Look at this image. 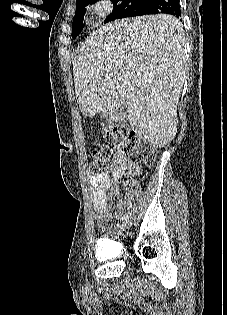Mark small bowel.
Returning a JSON list of instances; mask_svg holds the SVG:
<instances>
[{"label": "small bowel", "mask_w": 227, "mask_h": 315, "mask_svg": "<svg viewBox=\"0 0 227 315\" xmlns=\"http://www.w3.org/2000/svg\"><path fill=\"white\" fill-rule=\"evenodd\" d=\"M113 169L110 175L97 174L89 178L92 192V207L98 223L110 217L108 197L119 194V183L123 177H134L141 173V167L122 151H117L113 158ZM124 211V200L121 199L118 205V214Z\"/></svg>", "instance_id": "1"}]
</instances>
